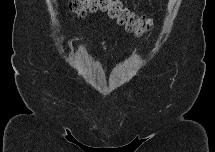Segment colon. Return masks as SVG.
Returning a JSON list of instances; mask_svg holds the SVG:
<instances>
[{
    "label": "colon",
    "mask_w": 215,
    "mask_h": 152,
    "mask_svg": "<svg viewBox=\"0 0 215 152\" xmlns=\"http://www.w3.org/2000/svg\"><path fill=\"white\" fill-rule=\"evenodd\" d=\"M69 9L78 16H83L88 11L107 13L118 24L136 35L146 33L152 26L150 18L137 15L117 0H76L70 3Z\"/></svg>",
    "instance_id": "obj_1"
}]
</instances>
